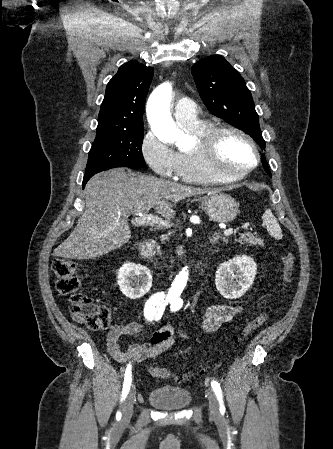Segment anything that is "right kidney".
I'll return each mask as SVG.
<instances>
[{
    "mask_svg": "<svg viewBox=\"0 0 333 449\" xmlns=\"http://www.w3.org/2000/svg\"><path fill=\"white\" fill-rule=\"evenodd\" d=\"M118 285L127 298L137 299L150 290L152 276L146 266L128 262L118 272Z\"/></svg>",
    "mask_w": 333,
    "mask_h": 449,
    "instance_id": "1",
    "label": "right kidney"
}]
</instances>
